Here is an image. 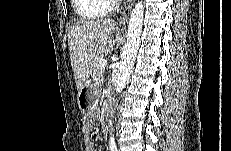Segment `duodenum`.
Returning a JSON list of instances; mask_svg holds the SVG:
<instances>
[{
    "mask_svg": "<svg viewBox=\"0 0 231 151\" xmlns=\"http://www.w3.org/2000/svg\"><path fill=\"white\" fill-rule=\"evenodd\" d=\"M110 98L108 97L107 99H106V103H105V105H104V114L105 115H108L109 113H110Z\"/></svg>",
    "mask_w": 231,
    "mask_h": 151,
    "instance_id": "1",
    "label": "duodenum"
}]
</instances>
